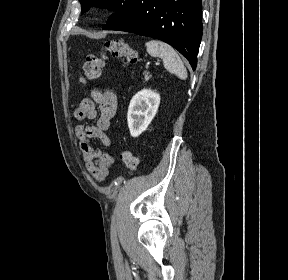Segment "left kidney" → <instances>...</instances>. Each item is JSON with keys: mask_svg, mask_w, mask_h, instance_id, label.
<instances>
[{"mask_svg": "<svg viewBox=\"0 0 288 280\" xmlns=\"http://www.w3.org/2000/svg\"><path fill=\"white\" fill-rule=\"evenodd\" d=\"M160 104V95L150 89L136 93L130 101L127 122L132 137L142 134L155 117Z\"/></svg>", "mask_w": 288, "mask_h": 280, "instance_id": "obj_1", "label": "left kidney"}]
</instances>
